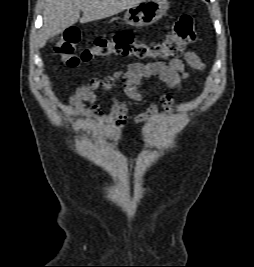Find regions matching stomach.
I'll list each match as a JSON object with an SVG mask.
<instances>
[{
  "label": "stomach",
  "mask_w": 254,
  "mask_h": 267,
  "mask_svg": "<svg viewBox=\"0 0 254 267\" xmlns=\"http://www.w3.org/2000/svg\"><path fill=\"white\" fill-rule=\"evenodd\" d=\"M168 8L167 0H143L127 9L124 21L133 27L149 26L160 20Z\"/></svg>",
  "instance_id": "1"
}]
</instances>
